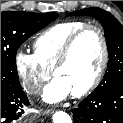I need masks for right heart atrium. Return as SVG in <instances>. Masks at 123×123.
I'll use <instances>...</instances> for the list:
<instances>
[{"mask_svg": "<svg viewBox=\"0 0 123 123\" xmlns=\"http://www.w3.org/2000/svg\"><path fill=\"white\" fill-rule=\"evenodd\" d=\"M16 72L24 89L30 94H36L51 75V70L38 60L35 54L18 50L14 57Z\"/></svg>", "mask_w": 123, "mask_h": 123, "instance_id": "obj_1", "label": "right heart atrium"}]
</instances>
